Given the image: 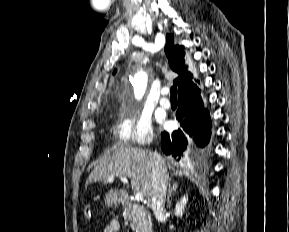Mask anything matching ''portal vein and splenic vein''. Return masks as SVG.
<instances>
[{"label":"portal vein and splenic vein","instance_id":"18ae733b","mask_svg":"<svg viewBox=\"0 0 289 232\" xmlns=\"http://www.w3.org/2000/svg\"><path fill=\"white\" fill-rule=\"evenodd\" d=\"M121 179V181L123 182V183H128V179L126 178V177H121L120 178ZM107 181L108 182H113L114 181V177H109L108 179H107ZM135 199L137 200V201H143V194L141 193V192H137L136 194H135Z\"/></svg>","mask_w":289,"mask_h":232}]
</instances>
